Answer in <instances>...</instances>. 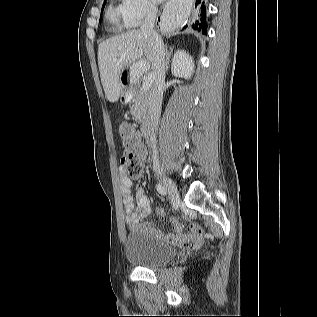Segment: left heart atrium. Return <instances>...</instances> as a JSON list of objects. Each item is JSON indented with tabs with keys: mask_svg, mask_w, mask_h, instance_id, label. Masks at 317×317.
Returning <instances> with one entry per match:
<instances>
[{
	"mask_svg": "<svg viewBox=\"0 0 317 317\" xmlns=\"http://www.w3.org/2000/svg\"><path fill=\"white\" fill-rule=\"evenodd\" d=\"M156 2H161V1H163V0H155Z\"/></svg>",
	"mask_w": 317,
	"mask_h": 317,
	"instance_id": "39dd6f15",
	"label": "left heart atrium"
}]
</instances>
